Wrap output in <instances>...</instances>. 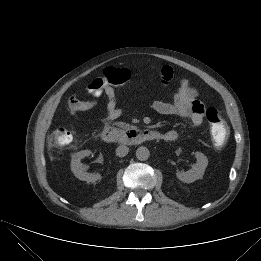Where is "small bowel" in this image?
<instances>
[{
	"mask_svg": "<svg viewBox=\"0 0 261 261\" xmlns=\"http://www.w3.org/2000/svg\"><path fill=\"white\" fill-rule=\"evenodd\" d=\"M161 82L163 86L168 85L174 77V71L170 66H163L161 71ZM107 98L105 106L104 120L112 121L122 115L124 108L118 104L116 89L112 85H105L102 90ZM99 96L91 100H82L73 95L68 100V107L73 112L88 111L98 104ZM153 109L162 115L179 116L190 121L194 126H200L204 116V106L198 100V92L191 85L189 80L182 79L180 88L170 102L155 100L152 103ZM178 138L176 130H169L161 133V140L175 141Z\"/></svg>",
	"mask_w": 261,
	"mask_h": 261,
	"instance_id": "1",
	"label": "small bowel"
}]
</instances>
